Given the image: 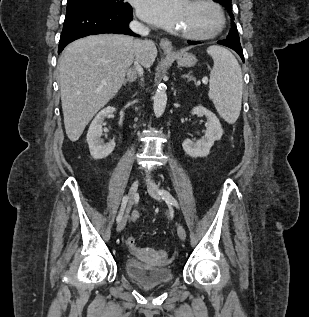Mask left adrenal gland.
<instances>
[{"label":"left adrenal gland","instance_id":"a2214340","mask_svg":"<svg viewBox=\"0 0 309 317\" xmlns=\"http://www.w3.org/2000/svg\"><path fill=\"white\" fill-rule=\"evenodd\" d=\"M181 78H183V79H187L188 81H192L193 79H192V77L190 76V75H182L181 76Z\"/></svg>","mask_w":309,"mask_h":317}]
</instances>
